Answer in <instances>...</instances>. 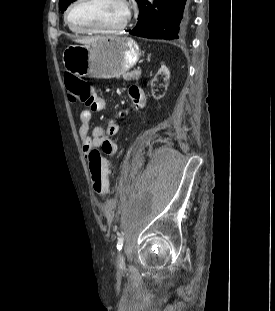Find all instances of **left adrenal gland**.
<instances>
[{"label":"left adrenal gland","instance_id":"obj_1","mask_svg":"<svg viewBox=\"0 0 275 311\" xmlns=\"http://www.w3.org/2000/svg\"><path fill=\"white\" fill-rule=\"evenodd\" d=\"M147 60H148V61H150V54L148 55V58H147Z\"/></svg>","mask_w":275,"mask_h":311}]
</instances>
